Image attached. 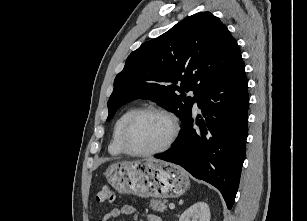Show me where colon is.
Here are the masks:
<instances>
[{
  "mask_svg": "<svg viewBox=\"0 0 307 221\" xmlns=\"http://www.w3.org/2000/svg\"><path fill=\"white\" fill-rule=\"evenodd\" d=\"M114 191L109 186H102L97 193V201L100 203H111L114 201Z\"/></svg>",
  "mask_w": 307,
  "mask_h": 221,
  "instance_id": "1",
  "label": "colon"
}]
</instances>
